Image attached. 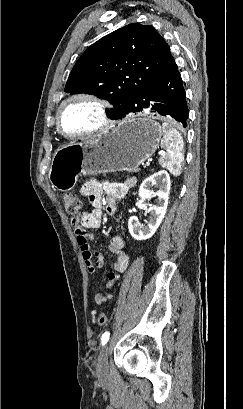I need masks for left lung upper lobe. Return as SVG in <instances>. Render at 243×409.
Instances as JSON below:
<instances>
[{"label": "left lung upper lobe", "instance_id": "1", "mask_svg": "<svg viewBox=\"0 0 243 409\" xmlns=\"http://www.w3.org/2000/svg\"><path fill=\"white\" fill-rule=\"evenodd\" d=\"M175 64L170 47L150 25L124 26L95 42L73 67L65 91L109 100L113 119L124 117L134 99Z\"/></svg>", "mask_w": 243, "mask_h": 409}]
</instances>
